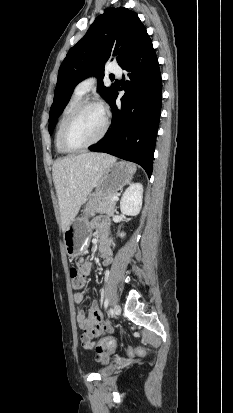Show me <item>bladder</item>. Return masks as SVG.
Instances as JSON below:
<instances>
[{
  "label": "bladder",
  "mask_w": 233,
  "mask_h": 413,
  "mask_svg": "<svg viewBox=\"0 0 233 413\" xmlns=\"http://www.w3.org/2000/svg\"><path fill=\"white\" fill-rule=\"evenodd\" d=\"M114 371H115V365H113V364H107V365H105L104 367H102V368L98 371V373H99L101 376H109V375H111Z\"/></svg>",
  "instance_id": "31cf9c89"
}]
</instances>
